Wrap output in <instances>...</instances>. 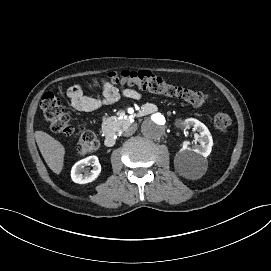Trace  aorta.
<instances>
[{"instance_id": "aorta-1", "label": "aorta", "mask_w": 271, "mask_h": 271, "mask_svg": "<svg viewBox=\"0 0 271 271\" xmlns=\"http://www.w3.org/2000/svg\"><path fill=\"white\" fill-rule=\"evenodd\" d=\"M167 119L161 113L146 118L141 125L142 134L150 139H159L165 132Z\"/></svg>"}]
</instances>
